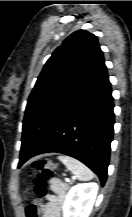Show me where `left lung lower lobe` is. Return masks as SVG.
<instances>
[{
	"mask_svg": "<svg viewBox=\"0 0 132 217\" xmlns=\"http://www.w3.org/2000/svg\"><path fill=\"white\" fill-rule=\"evenodd\" d=\"M113 108L112 89L104 63L35 150L28 153L21 147L18 167L35 155L59 152L83 162L104 185L113 138Z\"/></svg>",
	"mask_w": 132,
	"mask_h": 217,
	"instance_id": "0a47b994",
	"label": "left lung lower lobe"
}]
</instances>
